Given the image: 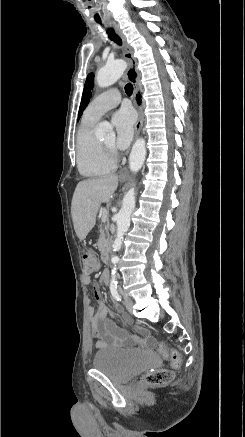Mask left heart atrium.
Masks as SVG:
<instances>
[{"mask_svg": "<svg viewBox=\"0 0 245 437\" xmlns=\"http://www.w3.org/2000/svg\"><path fill=\"white\" fill-rule=\"evenodd\" d=\"M136 117L133 110L123 107L112 117V123L116 130L114 146L119 150L126 149L131 143Z\"/></svg>", "mask_w": 245, "mask_h": 437, "instance_id": "39dd6f15", "label": "left heart atrium"}]
</instances>
